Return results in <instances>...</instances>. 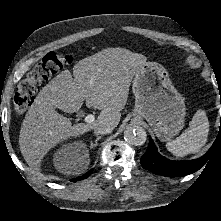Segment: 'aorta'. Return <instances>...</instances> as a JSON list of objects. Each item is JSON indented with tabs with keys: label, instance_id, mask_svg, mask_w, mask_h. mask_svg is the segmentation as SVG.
Segmentation results:
<instances>
[{
	"label": "aorta",
	"instance_id": "obj_1",
	"mask_svg": "<svg viewBox=\"0 0 221 221\" xmlns=\"http://www.w3.org/2000/svg\"><path fill=\"white\" fill-rule=\"evenodd\" d=\"M124 140L135 146H140L145 143L147 134L143 127L141 126H129L124 131Z\"/></svg>",
	"mask_w": 221,
	"mask_h": 221
}]
</instances>
